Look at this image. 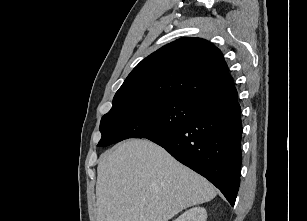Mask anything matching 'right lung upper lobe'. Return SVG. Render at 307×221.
Here are the masks:
<instances>
[{
    "label": "right lung upper lobe",
    "instance_id": "cb5924a9",
    "mask_svg": "<svg viewBox=\"0 0 307 221\" xmlns=\"http://www.w3.org/2000/svg\"><path fill=\"white\" fill-rule=\"evenodd\" d=\"M237 95L221 51L204 39L183 37L143 59L116 92L113 103L165 97L205 107Z\"/></svg>",
    "mask_w": 307,
    "mask_h": 221
}]
</instances>
